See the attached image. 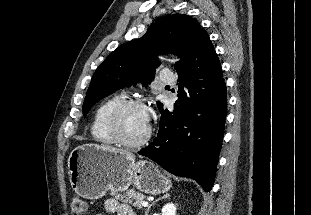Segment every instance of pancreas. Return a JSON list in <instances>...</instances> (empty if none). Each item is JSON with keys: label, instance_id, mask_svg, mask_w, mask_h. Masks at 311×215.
Returning a JSON list of instances; mask_svg holds the SVG:
<instances>
[{"label": "pancreas", "instance_id": "pancreas-1", "mask_svg": "<svg viewBox=\"0 0 311 215\" xmlns=\"http://www.w3.org/2000/svg\"><path fill=\"white\" fill-rule=\"evenodd\" d=\"M116 199H119L123 203L132 204L134 207L141 209V201L144 200L145 196L133 189L125 191L123 194H116Z\"/></svg>", "mask_w": 311, "mask_h": 215}]
</instances>
